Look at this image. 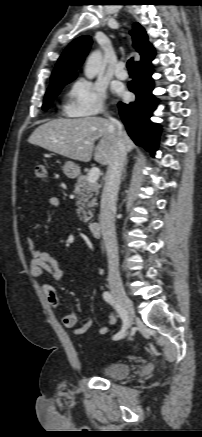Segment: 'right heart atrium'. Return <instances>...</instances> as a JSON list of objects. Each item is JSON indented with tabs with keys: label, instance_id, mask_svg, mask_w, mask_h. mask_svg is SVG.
Returning <instances> with one entry per match:
<instances>
[{
	"label": "right heart atrium",
	"instance_id": "obj_1",
	"mask_svg": "<svg viewBox=\"0 0 202 437\" xmlns=\"http://www.w3.org/2000/svg\"><path fill=\"white\" fill-rule=\"evenodd\" d=\"M107 94L103 86L86 80H76L68 94L65 111L74 117H95L106 111Z\"/></svg>",
	"mask_w": 202,
	"mask_h": 437
}]
</instances>
